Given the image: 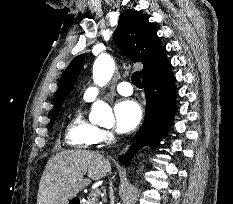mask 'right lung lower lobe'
<instances>
[{
    "instance_id": "1",
    "label": "right lung lower lobe",
    "mask_w": 233,
    "mask_h": 204,
    "mask_svg": "<svg viewBox=\"0 0 233 204\" xmlns=\"http://www.w3.org/2000/svg\"><path fill=\"white\" fill-rule=\"evenodd\" d=\"M168 63L162 68L142 77L146 95V114L144 123L136 134L137 142L119 158V162L129 166L131 158L141 146L149 144L156 148L172 123L175 113V77ZM133 138V140L136 139Z\"/></svg>"
}]
</instances>
